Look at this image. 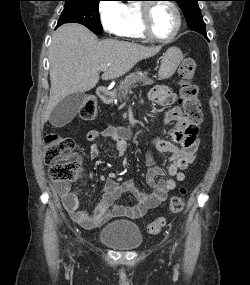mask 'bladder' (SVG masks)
Returning a JSON list of instances; mask_svg holds the SVG:
<instances>
[{
  "label": "bladder",
  "instance_id": "1",
  "mask_svg": "<svg viewBox=\"0 0 250 285\" xmlns=\"http://www.w3.org/2000/svg\"><path fill=\"white\" fill-rule=\"evenodd\" d=\"M98 239L108 247L117 250H134L143 242L138 225L128 220H114L104 225Z\"/></svg>",
  "mask_w": 250,
  "mask_h": 285
}]
</instances>
